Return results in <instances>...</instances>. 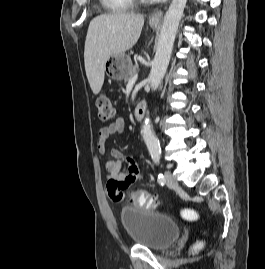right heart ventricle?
<instances>
[{
    "label": "right heart ventricle",
    "mask_w": 265,
    "mask_h": 269,
    "mask_svg": "<svg viewBox=\"0 0 265 269\" xmlns=\"http://www.w3.org/2000/svg\"><path fill=\"white\" fill-rule=\"evenodd\" d=\"M101 3L110 12L127 11L133 6V0H101Z\"/></svg>",
    "instance_id": "obj_1"
}]
</instances>
